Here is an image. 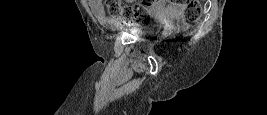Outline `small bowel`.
<instances>
[{
    "instance_id": "small-bowel-1",
    "label": "small bowel",
    "mask_w": 267,
    "mask_h": 115,
    "mask_svg": "<svg viewBox=\"0 0 267 115\" xmlns=\"http://www.w3.org/2000/svg\"><path fill=\"white\" fill-rule=\"evenodd\" d=\"M88 4L93 13L100 19H106L105 9L101 0H88ZM168 6L164 0H157L152 5L151 11L154 14H163L168 10ZM175 10V7H170Z\"/></svg>"
}]
</instances>
